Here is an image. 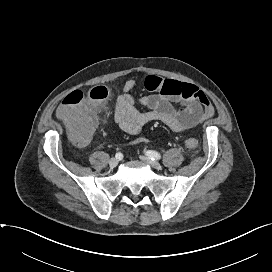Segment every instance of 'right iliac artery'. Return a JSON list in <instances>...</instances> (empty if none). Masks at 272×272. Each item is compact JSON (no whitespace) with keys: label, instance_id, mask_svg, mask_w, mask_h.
<instances>
[{"label":"right iliac artery","instance_id":"right-iliac-artery-1","mask_svg":"<svg viewBox=\"0 0 272 272\" xmlns=\"http://www.w3.org/2000/svg\"><path fill=\"white\" fill-rule=\"evenodd\" d=\"M115 157H116V159L121 160L123 158V154L118 152V153H116Z\"/></svg>","mask_w":272,"mask_h":272}]
</instances>
